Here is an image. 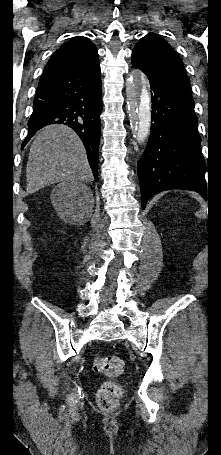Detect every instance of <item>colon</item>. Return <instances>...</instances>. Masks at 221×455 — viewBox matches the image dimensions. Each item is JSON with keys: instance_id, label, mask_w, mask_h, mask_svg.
Listing matches in <instances>:
<instances>
[{"instance_id": "colon-1", "label": "colon", "mask_w": 221, "mask_h": 455, "mask_svg": "<svg viewBox=\"0 0 221 455\" xmlns=\"http://www.w3.org/2000/svg\"><path fill=\"white\" fill-rule=\"evenodd\" d=\"M92 365L95 371L110 378L119 376L124 368L123 360L115 355L95 357ZM122 393L123 389L119 383L115 381L104 382L97 393L99 406L105 410L115 408Z\"/></svg>"}]
</instances>
